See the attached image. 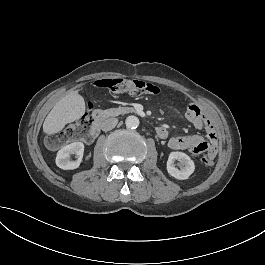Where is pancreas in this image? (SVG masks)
Returning a JSON list of instances; mask_svg holds the SVG:
<instances>
[{"label": "pancreas", "mask_w": 265, "mask_h": 265, "mask_svg": "<svg viewBox=\"0 0 265 265\" xmlns=\"http://www.w3.org/2000/svg\"><path fill=\"white\" fill-rule=\"evenodd\" d=\"M135 112V109L132 107H118L110 108L104 111L105 117H114L120 114L132 113Z\"/></svg>", "instance_id": "obj_1"}]
</instances>
